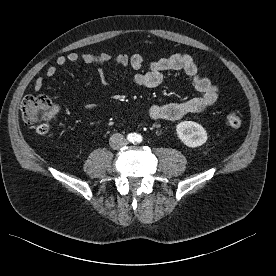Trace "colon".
Masks as SVG:
<instances>
[{"mask_svg": "<svg viewBox=\"0 0 276 276\" xmlns=\"http://www.w3.org/2000/svg\"><path fill=\"white\" fill-rule=\"evenodd\" d=\"M55 114V106L51 98L45 94L28 95L21 102V116L36 134L51 135V121ZM228 128L238 129L242 126V115L237 111H230L225 117Z\"/></svg>", "mask_w": 276, "mask_h": 276, "instance_id": "obj_1", "label": "colon"}]
</instances>
